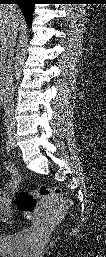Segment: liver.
<instances>
[{
	"label": "liver",
	"mask_w": 106,
	"mask_h": 257,
	"mask_svg": "<svg viewBox=\"0 0 106 257\" xmlns=\"http://www.w3.org/2000/svg\"><path fill=\"white\" fill-rule=\"evenodd\" d=\"M22 23V14L15 5H2L0 7V38L4 42L13 26Z\"/></svg>",
	"instance_id": "6515ba94"
}]
</instances>
